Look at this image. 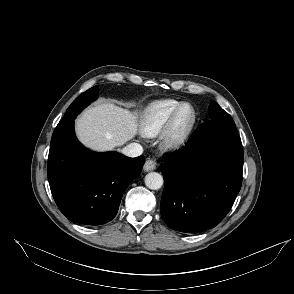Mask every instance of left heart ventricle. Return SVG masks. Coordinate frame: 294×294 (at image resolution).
I'll list each match as a JSON object with an SVG mask.
<instances>
[{"instance_id": "b2bd125f", "label": "left heart ventricle", "mask_w": 294, "mask_h": 294, "mask_svg": "<svg viewBox=\"0 0 294 294\" xmlns=\"http://www.w3.org/2000/svg\"><path fill=\"white\" fill-rule=\"evenodd\" d=\"M189 113H190V111L188 109H186L185 112H184V117L189 116Z\"/></svg>"}]
</instances>
